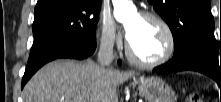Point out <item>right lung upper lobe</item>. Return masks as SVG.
<instances>
[{
	"label": "right lung upper lobe",
	"instance_id": "cb5924a9",
	"mask_svg": "<svg viewBox=\"0 0 221 102\" xmlns=\"http://www.w3.org/2000/svg\"><path fill=\"white\" fill-rule=\"evenodd\" d=\"M45 1H48V0H38L37 4L43 3ZM86 1L101 2V0H86Z\"/></svg>",
	"mask_w": 221,
	"mask_h": 102
}]
</instances>
